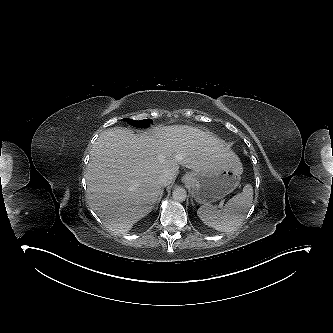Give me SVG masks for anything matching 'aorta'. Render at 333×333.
<instances>
[{
	"instance_id": "obj_1",
	"label": "aorta",
	"mask_w": 333,
	"mask_h": 333,
	"mask_svg": "<svg viewBox=\"0 0 333 333\" xmlns=\"http://www.w3.org/2000/svg\"><path fill=\"white\" fill-rule=\"evenodd\" d=\"M172 197L177 202H183L187 197V192L183 187H176L172 192Z\"/></svg>"
}]
</instances>
